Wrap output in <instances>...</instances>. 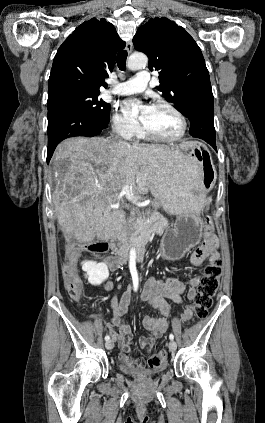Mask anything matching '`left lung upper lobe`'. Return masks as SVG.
Returning a JSON list of instances; mask_svg holds the SVG:
<instances>
[{"instance_id": "5c2ea615", "label": "left lung upper lobe", "mask_w": 265, "mask_h": 423, "mask_svg": "<svg viewBox=\"0 0 265 423\" xmlns=\"http://www.w3.org/2000/svg\"><path fill=\"white\" fill-rule=\"evenodd\" d=\"M133 42L135 49L149 57V69L160 71L158 90L182 114L195 91L211 86L199 46L183 27L168 18L150 19L138 28Z\"/></svg>"}]
</instances>
